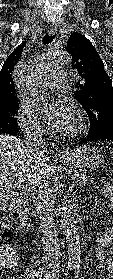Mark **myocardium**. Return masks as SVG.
<instances>
[{"label":"myocardium","instance_id":"1","mask_svg":"<svg viewBox=\"0 0 113 279\" xmlns=\"http://www.w3.org/2000/svg\"><path fill=\"white\" fill-rule=\"evenodd\" d=\"M74 113L76 116V121L74 127L66 132L64 136L66 137H75L83 133L86 129V121L81 109L78 106H74Z\"/></svg>","mask_w":113,"mask_h":279}]
</instances>
